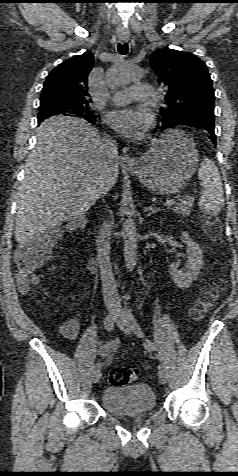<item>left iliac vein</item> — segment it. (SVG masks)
I'll return each mask as SVG.
<instances>
[{
	"mask_svg": "<svg viewBox=\"0 0 238 476\" xmlns=\"http://www.w3.org/2000/svg\"><path fill=\"white\" fill-rule=\"evenodd\" d=\"M116 322L122 332H124L127 335L131 333V327L127 321V318L124 312L122 311L118 312ZM158 377L162 384H165L167 382V371L163 364H160L158 367Z\"/></svg>",
	"mask_w": 238,
	"mask_h": 476,
	"instance_id": "obj_1",
	"label": "left iliac vein"
}]
</instances>
